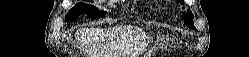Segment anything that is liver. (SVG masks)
Masks as SVG:
<instances>
[{
	"mask_svg": "<svg viewBox=\"0 0 249 57\" xmlns=\"http://www.w3.org/2000/svg\"><path fill=\"white\" fill-rule=\"evenodd\" d=\"M131 33L135 31L128 30V27H113L109 29H81L82 41H85L89 48V57H118L115 53L117 47L128 45L131 41Z\"/></svg>",
	"mask_w": 249,
	"mask_h": 57,
	"instance_id": "obj_1",
	"label": "liver"
}]
</instances>
